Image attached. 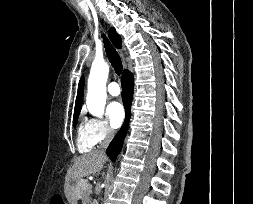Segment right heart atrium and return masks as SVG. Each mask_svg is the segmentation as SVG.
<instances>
[{"instance_id": "1", "label": "right heart atrium", "mask_w": 253, "mask_h": 204, "mask_svg": "<svg viewBox=\"0 0 253 204\" xmlns=\"http://www.w3.org/2000/svg\"><path fill=\"white\" fill-rule=\"evenodd\" d=\"M87 123L91 138L95 144L109 140L114 134L112 128L102 119L91 118Z\"/></svg>"}]
</instances>
